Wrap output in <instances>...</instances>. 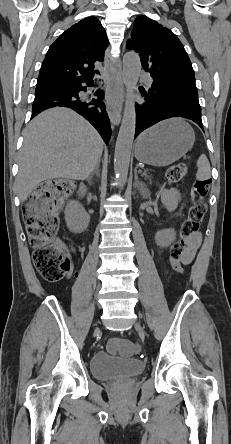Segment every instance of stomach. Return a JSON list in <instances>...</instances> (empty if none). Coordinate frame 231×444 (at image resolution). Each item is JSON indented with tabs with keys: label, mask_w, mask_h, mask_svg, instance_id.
<instances>
[{
	"label": "stomach",
	"mask_w": 231,
	"mask_h": 444,
	"mask_svg": "<svg viewBox=\"0 0 231 444\" xmlns=\"http://www.w3.org/2000/svg\"><path fill=\"white\" fill-rule=\"evenodd\" d=\"M195 134L181 118L162 121L143 132L135 145V157L148 165L168 166L193 146Z\"/></svg>",
	"instance_id": "obj_1"
}]
</instances>
